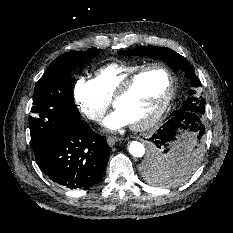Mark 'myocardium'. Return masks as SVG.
Instances as JSON below:
<instances>
[{"label":"myocardium","instance_id":"myocardium-1","mask_svg":"<svg viewBox=\"0 0 233 233\" xmlns=\"http://www.w3.org/2000/svg\"><path fill=\"white\" fill-rule=\"evenodd\" d=\"M155 69L162 70L167 74L168 80H169L167 93L164 99L162 100V102L160 103V105L157 107V109L147 119H145L144 121L140 123L131 124V128L133 130H136V131L148 130L151 127H153L164 115L168 106L171 103V100L174 96V91H175V80H174V76L172 72L166 66L162 64L147 65L144 68L140 69L138 72L129 76L127 79H125L112 98V105L114 108H117V105L120 102V100H122L128 94V92L131 90L134 84L143 75Z\"/></svg>","mask_w":233,"mask_h":233}]
</instances>
